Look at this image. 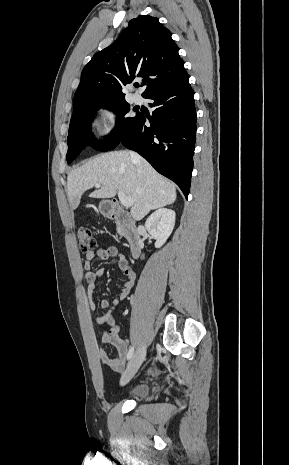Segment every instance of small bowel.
<instances>
[{
	"instance_id": "1",
	"label": "small bowel",
	"mask_w": 289,
	"mask_h": 465,
	"mask_svg": "<svg viewBox=\"0 0 289 465\" xmlns=\"http://www.w3.org/2000/svg\"><path fill=\"white\" fill-rule=\"evenodd\" d=\"M109 258H117L118 268L122 271L126 280L123 287L120 289L118 298L113 299L111 302L107 299H103L100 303L102 309H106L107 312L104 315H98L95 320L97 324H106L108 329L103 332L101 342L103 347L99 350V357L101 361L106 364L110 369L116 372H121L125 366L127 360V341L123 340L119 335V327L115 324L113 316L114 309L118 306L121 300H124L135 281V272L130 267L128 260L123 256L116 247L109 246L107 248H99L87 252L86 261L84 263L85 281L87 283V294L89 297V307L91 310L96 309V304L93 301V293L96 289L99 278L104 275L103 269L92 270V263L95 260L104 261ZM111 345L117 352L116 357H112L107 346Z\"/></svg>"
}]
</instances>
